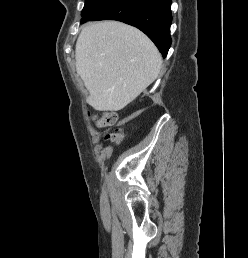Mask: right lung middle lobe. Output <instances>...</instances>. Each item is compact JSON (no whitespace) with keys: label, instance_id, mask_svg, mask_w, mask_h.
<instances>
[{"label":"right lung middle lobe","instance_id":"obj_1","mask_svg":"<svg viewBox=\"0 0 248 258\" xmlns=\"http://www.w3.org/2000/svg\"><path fill=\"white\" fill-rule=\"evenodd\" d=\"M115 1L116 0H85V5L81 13V22L96 17Z\"/></svg>","mask_w":248,"mask_h":258}]
</instances>
